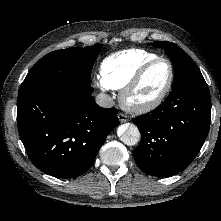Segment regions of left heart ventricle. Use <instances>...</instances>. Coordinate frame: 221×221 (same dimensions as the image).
Here are the masks:
<instances>
[{
  "label": "left heart ventricle",
  "instance_id": "left-heart-ventricle-1",
  "mask_svg": "<svg viewBox=\"0 0 221 221\" xmlns=\"http://www.w3.org/2000/svg\"><path fill=\"white\" fill-rule=\"evenodd\" d=\"M169 78V66L165 62L155 64L144 76L133 93L131 100L145 102L155 98L164 88Z\"/></svg>",
  "mask_w": 221,
  "mask_h": 221
}]
</instances>
